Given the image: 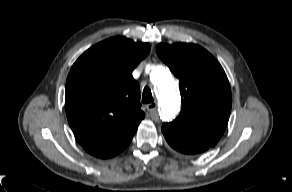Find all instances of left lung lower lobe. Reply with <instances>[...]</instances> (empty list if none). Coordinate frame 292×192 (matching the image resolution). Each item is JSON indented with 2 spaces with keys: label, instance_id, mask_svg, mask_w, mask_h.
<instances>
[{
  "label": "left lung lower lobe",
  "instance_id": "left-lung-lower-lobe-1",
  "mask_svg": "<svg viewBox=\"0 0 292 192\" xmlns=\"http://www.w3.org/2000/svg\"><path fill=\"white\" fill-rule=\"evenodd\" d=\"M163 134L168 144L173 149L184 154H198L210 148L209 146H206L204 144L193 143L164 131H163Z\"/></svg>",
  "mask_w": 292,
  "mask_h": 192
}]
</instances>
